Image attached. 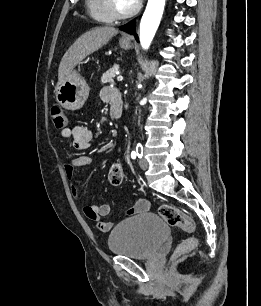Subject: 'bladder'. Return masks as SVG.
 Segmentation results:
<instances>
[{
    "mask_svg": "<svg viewBox=\"0 0 261 306\" xmlns=\"http://www.w3.org/2000/svg\"><path fill=\"white\" fill-rule=\"evenodd\" d=\"M170 235V228L155 213H142L119 223L108 237L111 253L132 259L151 257Z\"/></svg>",
    "mask_w": 261,
    "mask_h": 306,
    "instance_id": "bladder-1",
    "label": "bladder"
}]
</instances>
